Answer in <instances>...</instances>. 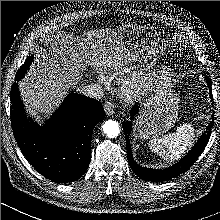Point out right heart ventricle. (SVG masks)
I'll return each mask as SVG.
<instances>
[{
  "label": "right heart ventricle",
  "instance_id": "e07e8e85",
  "mask_svg": "<svg viewBox=\"0 0 220 220\" xmlns=\"http://www.w3.org/2000/svg\"><path fill=\"white\" fill-rule=\"evenodd\" d=\"M133 67L134 66L132 64L127 62L113 61L107 64L106 70L118 74V73H126Z\"/></svg>",
  "mask_w": 220,
  "mask_h": 220
}]
</instances>
